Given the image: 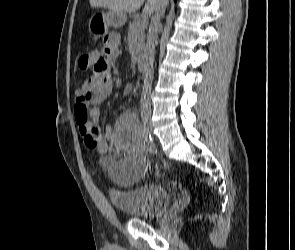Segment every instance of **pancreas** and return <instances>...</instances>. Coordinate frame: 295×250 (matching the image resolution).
Segmentation results:
<instances>
[{"label":"pancreas","instance_id":"cf45deb5","mask_svg":"<svg viewBox=\"0 0 295 250\" xmlns=\"http://www.w3.org/2000/svg\"><path fill=\"white\" fill-rule=\"evenodd\" d=\"M145 28L146 25L141 23L140 18L135 16L133 21L129 23V32L134 34L137 43V50L142 54L145 50Z\"/></svg>","mask_w":295,"mask_h":250}]
</instances>
